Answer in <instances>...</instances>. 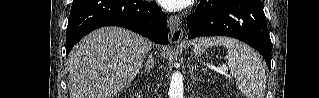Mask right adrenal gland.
Returning a JSON list of instances; mask_svg holds the SVG:
<instances>
[{"instance_id": "obj_1", "label": "right adrenal gland", "mask_w": 319, "mask_h": 98, "mask_svg": "<svg viewBox=\"0 0 319 98\" xmlns=\"http://www.w3.org/2000/svg\"><path fill=\"white\" fill-rule=\"evenodd\" d=\"M152 68H153V58L151 56H149L148 60L146 61L145 69L141 73L142 74L149 73V72H151Z\"/></svg>"}]
</instances>
